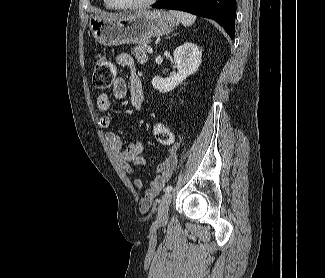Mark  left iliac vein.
I'll return each mask as SVG.
<instances>
[{
    "label": "left iliac vein",
    "mask_w": 325,
    "mask_h": 278,
    "mask_svg": "<svg viewBox=\"0 0 325 278\" xmlns=\"http://www.w3.org/2000/svg\"><path fill=\"white\" fill-rule=\"evenodd\" d=\"M172 200V193L171 192H167L165 193L160 202H159V206H158V215H157V219L159 223H165L168 219V210H169V205L171 203Z\"/></svg>",
    "instance_id": "obj_1"
}]
</instances>
